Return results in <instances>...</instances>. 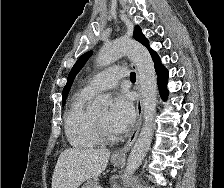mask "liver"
Segmentation results:
<instances>
[{"label":"liver","instance_id":"obj_1","mask_svg":"<svg viewBox=\"0 0 224 188\" xmlns=\"http://www.w3.org/2000/svg\"><path fill=\"white\" fill-rule=\"evenodd\" d=\"M109 157L107 149H65L58 157L52 188H78L85 180L104 171Z\"/></svg>","mask_w":224,"mask_h":188}]
</instances>
